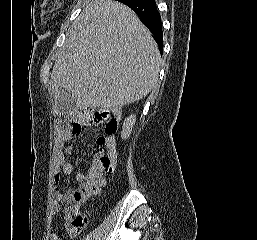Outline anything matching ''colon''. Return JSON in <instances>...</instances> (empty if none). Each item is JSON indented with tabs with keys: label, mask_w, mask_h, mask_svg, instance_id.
Wrapping results in <instances>:
<instances>
[{
	"label": "colon",
	"mask_w": 257,
	"mask_h": 240,
	"mask_svg": "<svg viewBox=\"0 0 257 240\" xmlns=\"http://www.w3.org/2000/svg\"><path fill=\"white\" fill-rule=\"evenodd\" d=\"M90 122L94 126H101L103 133L97 137L98 151L94 155L92 166L87 177L82 181L80 186L75 189L69 199L67 209L70 220V228L80 232L87 223L86 217L78 210L77 205L96 194L105 182V178L115 171V161L113 156L103 149L107 139L117 130V120L115 116L106 110H96L90 115ZM74 130L79 131L82 126L78 123L72 124Z\"/></svg>",
	"instance_id": "colon-1"
}]
</instances>
